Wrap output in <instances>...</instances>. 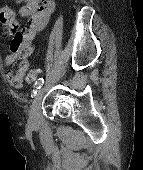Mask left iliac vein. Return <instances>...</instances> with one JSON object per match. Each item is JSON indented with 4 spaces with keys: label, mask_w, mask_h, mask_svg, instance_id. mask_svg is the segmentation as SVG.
<instances>
[{
    "label": "left iliac vein",
    "mask_w": 143,
    "mask_h": 170,
    "mask_svg": "<svg viewBox=\"0 0 143 170\" xmlns=\"http://www.w3.org/2000/svg\"><path fill=\"white\" fill-rule=\"evenodd\" d=\"M44 92L45 88H40L32 101L28 119V125L31 127H36L39 124L41 103Z\"/></svg>",
    "instance_id": "1"
}]
</instances>
